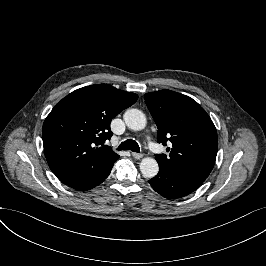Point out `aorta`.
I'll list each match as a JSON object with an SVG mask.
<instances>
[{
  "instance_id": "obj_1",
  "label": "aorta",
  "mask_w": 266,
  "mask_h": 266,
  "mask_svg": "<svg viewBox=\"0 0 266 266\" xmlns=\"http://www.w3.org/2000/svg\"><path fill=\"white\" fill-rule=\"evenodd\" d=\"M126 126L133 130H141L145 127V114L136 108L127 109L123 114ZM140 171L147 179L154 178L159 172V165L155 159L144 158L140 163Z\"/></svg>"
}]
</instances>
